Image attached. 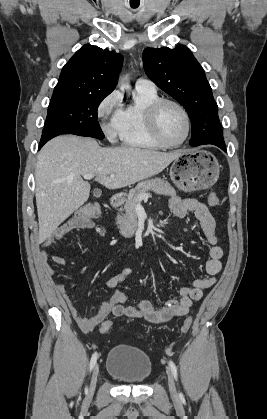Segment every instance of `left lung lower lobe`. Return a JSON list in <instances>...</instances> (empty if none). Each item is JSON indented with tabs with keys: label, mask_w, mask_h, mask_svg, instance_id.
Returning a JSON list of instances; mask_svg holds the SVG:
<instances>
[{
	"label": "left lung lower lobe",
	"mask_w": 267,
	"mask_h": 419,
	"mask_svg": "<svg viewBox=\"0 0 267 419\" xmlns=\"http://www.w3.org/2000/svg\"><path fill=\"white\" fill-rule=\"evenodd\" d=\"M203 144H213L220 147L222 150L226 151L225 143L224 142H217L214 140V136L211 134H206L204 138H198L195 140L194 143L190 144L191 146H199Z\"/></svg>",
	"instance_id": "0a47b994"
}]
</instances>
